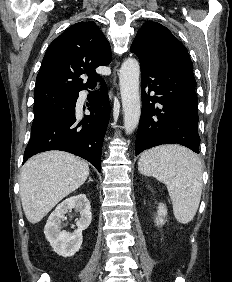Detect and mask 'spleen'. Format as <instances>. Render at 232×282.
Masks as SVG:
<instances>
[{"label": "spleen", "instance_id": "1", "mask_svg": "<svg viewBox=\"0 0 232 282\" xmlns=\"http://www.w3.org/2000/svg\"><path fill=\"white\" fill-rule=\"evenodd\" d=\"M138 169L166 184L180 223L193 219L202 192V165L197 155L177 145L159 146L141 155Z\"/></svg>", "mask_w": 232, "mask_h": 282}]
</instances>
